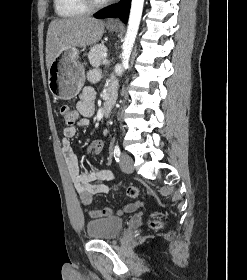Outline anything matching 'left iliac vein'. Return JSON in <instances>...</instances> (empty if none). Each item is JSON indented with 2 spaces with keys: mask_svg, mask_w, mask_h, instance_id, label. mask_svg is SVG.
Masks as SVG:
<instances>
[{
  "mask_svg": "<svg viewBox=\"0 0 247 280\" xmlns=\"http://www.w3.org/2000/svg\"><path fill=\"white\" fill-rule=\"evenodd\" d=\"M120 168L125 173H132L134 170L133 159L129 155L123 154L120 158Z\"/></svg>",
  "mask_w": 247,
  "mask_h": 280,
  "instance_id": "left-iliac-vein-1",
  "label": "left iliac vein"
}]
</instances>
